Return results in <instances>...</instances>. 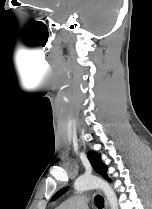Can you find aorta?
Masks as SVG:
<instances>
[{
    "mask_svg": "<svg viewBox=\"0 0 152 209\" xmlns=\"http://www.w3.org/2000/svg\"><path fill=\"white\" fill-rule=\"evenodd\" d=\"M74 189L77 192H82L85 190H92V189H101L110 206L111 209L118 208L117 196L113 191L112 187L104 180L96 176H82L75 180L74 182Z\"/></svg>",
    "mask_w": 152,
    "mask_h": 209,
    "instance_id": "762f6f07",
    "label": "aorta"
}]
</instances>
